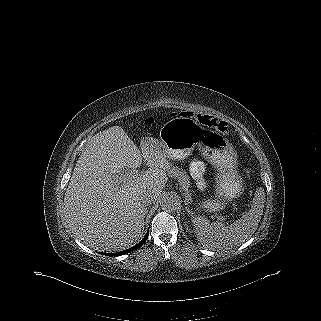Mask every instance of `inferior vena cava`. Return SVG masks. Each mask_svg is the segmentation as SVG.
Returning a JSON list of instances; mask_svg holds the SVG:
<instances>
[{
    "mask_svg": "<svg viewBox=\"0 0 321 321\" xmlns=\"http://www.w3.org/2000/svg\"><path fill=\"white\" fill-rule=\"evenodd\" d=\"M141 202L143 205L145 206H149L151 205L154 201H155V197L154 195L149 192V191H145L142 196H141Z\"/></svg>",
    "mask_w": 321,
    "mask_h": 321,
    "instance_id": "1",
    "label": "inferior vena cava"
}]
</instances>
